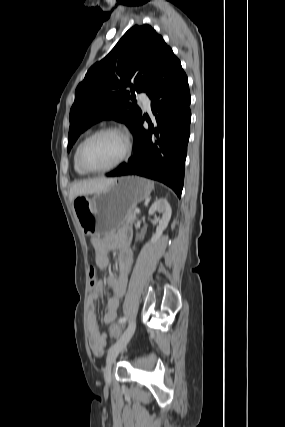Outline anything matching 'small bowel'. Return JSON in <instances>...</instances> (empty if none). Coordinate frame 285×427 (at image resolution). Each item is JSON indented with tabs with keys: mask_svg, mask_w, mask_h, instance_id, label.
<instances>
[{
	"mask_svg": "<svg viewBox=\"0 0 285 427\" xmlns=\"http://www.w3.org/2000/svg\"><path fill=\"white\" fill-rule=\"evenodd\" d=\"M130 238V231L123 230L116 235L94 236L91 240L96 264L101 269L109 267V252L113 250L119 251V275H110L106 279V285L111 289L112 294L107 301L106 312L103 316L105 324H111L116 320L119 303L126 290L127 277L133 263V252L128 246ZM103 289L104 284L99 280L95 287L90 289L88 295V309L91 317L89 341L90 348L96 356H100L103 353L106 344V333L100 331L95 315V302L102 295Z\"/></svg>",
	"mask_w": 285,
	"mask_h": 427,
	"instance_id": "1",
	"label": "small bowel"
}]
</instances>
